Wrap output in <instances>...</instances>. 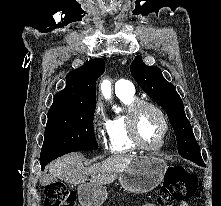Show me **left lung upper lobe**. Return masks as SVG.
<instances>
[{
	"instance_id": "left-lung-upper-lobe-1",
	"label": "left lung upper lobe",
	"mask_w": 221,
	"mask_h": 206,
	"mask_svg": "<svg viewBox=\"0 0 221 206\" xmlns=\"http://www.w3.org/2000/svg\"><path fill=\"white\" fill-rule=\"evenodd\" d=\"M130 71L139 86L167 112L176 134L179 154L193 162L201 161L191 124L186 118L183 102L174 85L164 79L158 67L145 65L140 55L134 58Z\"/></svg>"
}]
</instances>
